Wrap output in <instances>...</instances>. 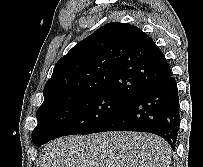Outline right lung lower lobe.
<instances>
[{
	"label": "right lung lower lobe",
	"mask_w": 203,
	"mask_h": 167,
	"mask_svg": "<svg viewBox=\"0 0 203 167\" xmlns=\"http://www.w3.org/2000/svg\"><path fill=\"white\" fill-rule=\"evenodd\" d=\"M179 125L178 89L174 77L170 74L127 102L93 133L149 132L164 138L175 150Z\"/></svg>",
	"instance_id": "98d812e1"
}]
</instances>
